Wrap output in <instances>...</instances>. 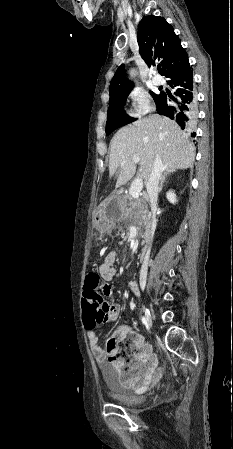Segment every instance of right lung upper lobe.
I'll return each mask as SVG.
<instances>
[{
    "instance_id": "1",
    "label": "right lung upper lobe",
    "mask_w": 233,
    "mask_h": 449,
    "mask_svg": "<svg viewBox=\"0 0 233 449\" xmlns=\"http://www.w3.org/2000/svg\"><path fill=\"white\" fill-rule=\"evenodd\" d=\"M137 40L140 54L149 66L154 61L162 65V74L168 77L188 62V55L181 46L180 39L173 27L163 17L145 16L139 23ZM133 83L125 76L124 65H121L111 80L110 98L130 92Z\"/></svg>"
}]
</instances>
